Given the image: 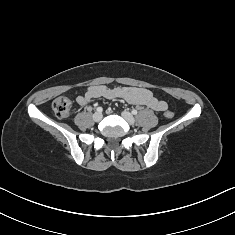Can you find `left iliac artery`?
I'll use <instances>...</instances> for the list:
<instances>
[{
  "instance_id": "obj_1",
  "label": "left iliac artery",
  "mask_w": 235,
  "mask_h": 235,
  "mask_svg": "<svg viewBox=\"0 0 235 235\" xmlns=\"http://www.w3.org/2000/svg\"><path fill=\"white\" fill-rule=\"evenodd\" d=\"M137 113H138V111H137L136 109H133V110H132V114H133V115H136Z\"/></svg>"
}]
</instances>
